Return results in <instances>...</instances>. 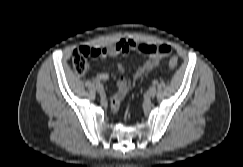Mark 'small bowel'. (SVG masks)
I'll return each mask as SVG.
<instances>
[{"instance_id": "obj_1", "label": "small bowel", "mask_w": 243, "mask_h": 167, "mask_svg": "<svg viewBox=\"0 0 243 167\" xmlns=\"http://www.w3.org/2000/svg\"><path fill=\"white\" fill-rule=\"evenodd\" d=\"M130 50L143 53L148 56L147 60L140 65L133 73L132 81H128L124 76H121L117 82V91L112 96L111 107L115 112L120 106L121 100L129 92L132 85L144 74L155 69L160 62L171 54V47L167 44L142 43L130 39H120L114 45L109 47H94L91 48L92 56L94 57H115L122 55L126 59ZM119 71L125 73V61L118 64ZM109 79V75L105 72L97 74L96 80L105 82Z\"/></svg>"}]
</instances>
